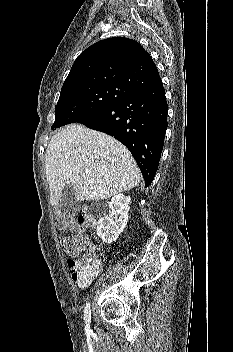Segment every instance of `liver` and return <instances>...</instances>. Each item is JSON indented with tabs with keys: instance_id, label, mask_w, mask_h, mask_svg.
<instances>
[{
	"instance_id": "1",
	"label": "liver",
	"mask_w": 233,
	"mask_h": 352,
	"mask_svg": "<svg viewBox=\"0 0 233 352\" xmlns=\"http://www.w3.org/2000/svg\"><path fill=\"white\" fill-rule=\"evenodd\" d=\"M45 169L53 206L58 205L69 183L77 201H94L130 190L141 179L135 160L122 143L80 124L68 125L52 136Z\"/></svg>"
}]
</instances>
